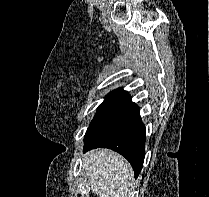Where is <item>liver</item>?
I'll return each instance as SVG.
<instances>
[{
    "label": "liver",
    "mask_w": 209,
    "mask_h": 197,
    "mask_svg": "<svg viewBox=\"0 0 209 197\" xmlns=\"http://www.w3.org/2000/svg\"><path fill=\"white\" fill-rule=\"evenodd\" d=\"M83 168L90 189L99 197H127L132 170L119 154L108 149L90 151L84 156Z\"/></svg>",
    "instance_id": "1"
}]
</instances>
